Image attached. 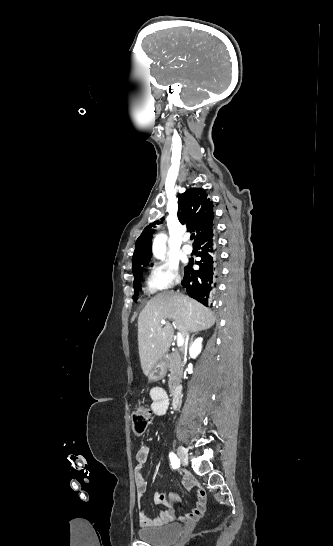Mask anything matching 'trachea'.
<instances>
[{
  "instance_id": "obj_1",
  "label": "trachea",
  "mask_w": 333,
  "mask_h": 546,
  "mask_svg": "<svg viewBox=\"0 0 333 546\" xmlns=\"http://www.w3.org/2000/svg\"><path fill=\"white\" fill-rule=\"evenodd\" d=\"M193 238H194V234H191V240H193Z\"/></svg>"
}]
</instances>
